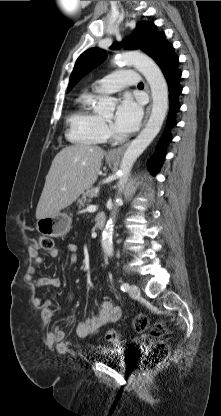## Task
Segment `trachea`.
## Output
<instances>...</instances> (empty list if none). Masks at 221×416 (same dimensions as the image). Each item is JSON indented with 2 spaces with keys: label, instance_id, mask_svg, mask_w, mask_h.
<instances>
[{
  "label": "trachea",
  "instance_id": "obj_1",
  "mask_svg": "<svg viewBox=\"0 0 221 416\" xmlns=\"http://www.w3.org/2000/svg\"><path fill=\"white\" fill-rule=\"evenodd\" d=\"M144 86V84L142 83V82H140L139 84H138V87H143Z\"/></svg>",
  "mask_w": 221,
  "mask_h": 416
}]
</instances>
